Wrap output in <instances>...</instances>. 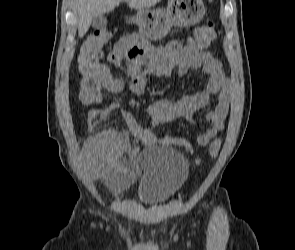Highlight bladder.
<instances>
[{"label":"bladder","instance_id":"1","mask_svg":"<svg viewBox=\"0 0 295 250\" xmlns=\"http://www.w3.org/2000/svg\"><path fill=\"white\" fill-rule=\"evenodd\" d=\"M142 170L138 198L145 205L167 201L188 175V162L179 151L165 146L143 150L137 158Z\"/></svg>","mask_w":295,"mask_h":250}]
</instances>
